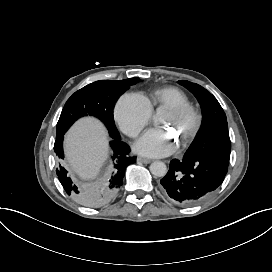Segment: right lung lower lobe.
Returning <instances> with one entry per match:
<instances>
[{
    "label": "right lung lower lobe",
    "mask_w": 272,
    "mask_h": 272,
    "mask_svg": "<svg viewBox=\"0 0 272 272\" xmlns=\"http://www.w3.org/2000/svg\"><path fill=\"white\" fill-rule=\"evenodd\" d=\"M63 135L56 136L54 145V151L59 159H64ZM112 139L110 142L113 151L112 167L102 181L91 186H82L71 180L67 170L60 163L56 169L65 192L84 206L97 208L109 203L123 185L126 168L136 162V157L130 155L129 146L120 140V136Z\"/></svg>",
    "instance_id": "98d812e1"
}]
</instances>
